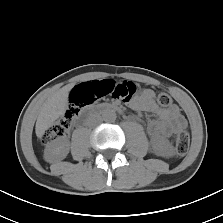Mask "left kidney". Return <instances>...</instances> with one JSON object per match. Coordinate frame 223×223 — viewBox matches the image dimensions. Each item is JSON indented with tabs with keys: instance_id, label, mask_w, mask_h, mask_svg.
<instances>
[{
	"instance_id": "1",
	"label": "left kidney",
	"mask_w": 223,
	"mask_h": 223,
	"mask_svg": "<svg viewBox=\"0 0 223 223\" xmlns=\"http://www.w3.org/2000/svg\"><path fill=\"white\" fill-rule=\"evenodd\" d=\"M154 150L160 153L163 156H172L173 147L168 141H160L154 144Z\"/></svg>"
}]
</instances>
